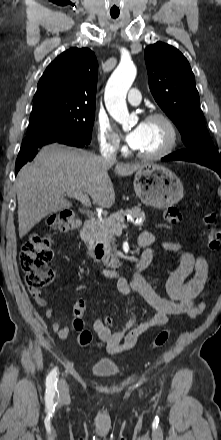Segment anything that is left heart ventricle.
<instances>
[{"mask_svg":"<svg viewBox=\"0 0 221 440\" xmlns=\"http://www.w3.org/2000/svg\"><path fill=\"white\" fill-rule=\"evenodd\" d=\"M168 139L165 125L160 121H146V132L138 151L152 153L163 148Z\"/></svg>","mask_w":221,"mask_h":440,"instance_id":"left-heart-ventricle-1","label":"left heart ventricle"}]
</instances>
